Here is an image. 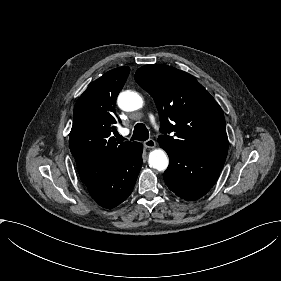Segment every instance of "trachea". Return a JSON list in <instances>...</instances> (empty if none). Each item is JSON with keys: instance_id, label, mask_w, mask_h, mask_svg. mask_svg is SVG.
<instances>
[{"instance_id": "1", "label": "trachea", "mask_w": 281, "mask_h": 281, "mask_svg": "<svg viewBox=\"0 0 281 281\" xmlns=\"http://www.w3.org/2000/svg\"><path fill=\"white\" fill-rule=\"evenodd\" d=\"M120 140H124L123 137H120ZM149 138V132L146 126L142 123H137L134 127L133 135L131 140L145 141Z\"/></svg>"}]
</instances>
